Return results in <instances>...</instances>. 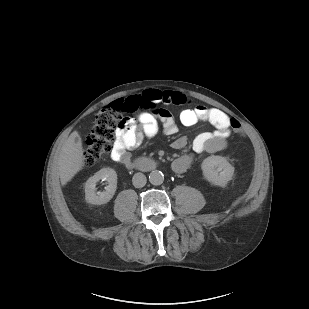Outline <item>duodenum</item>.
I'll return each mask as SVG.
<instances>
[{"label": "duodenum", "mask_w": 309, "mask_h": 309, "mask_svg": "<svg viewBox=\"0 0 309 309\" xmlns=\"http://www.w3.org/2000/svg\"><path fill=\"white\" fill-rule=\"evenodd\" d=\"M133 165L142 170H153L157 167L156 162L151 159H140L134 162Z\"/></svg>", "instance_id": "obj_1"}]
</instances>
